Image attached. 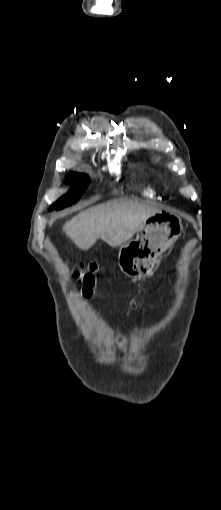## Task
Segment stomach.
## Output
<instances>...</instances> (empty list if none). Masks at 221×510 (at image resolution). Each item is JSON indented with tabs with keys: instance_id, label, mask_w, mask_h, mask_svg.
Instances as JSON below:
<instances>
[{
	"instance_id": "0dacf381",
	"label": "stomach",
	"mask_w": 221,
	"mask_h": 510,
	"mask_svg": "<svg viewBox=\"0 0 221 510\" xmlns=\"http://www.w3.org/2000/svg\"><path fill=\"white\" fill-rule=\"evenodd\" d=\"M182 231L181 219L173 213L159 211L148 217L138 229L136 239L121 246L118 256L121 271L132 279L145 277Z\"/></svg>"
}]
</instances>
